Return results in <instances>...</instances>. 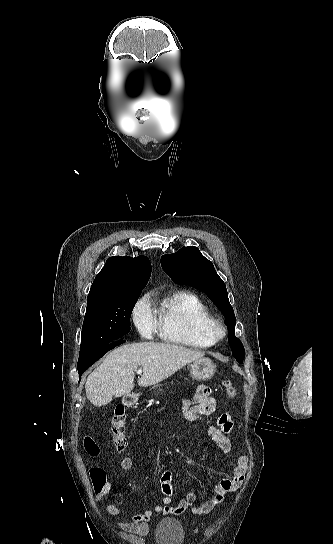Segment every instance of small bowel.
<instances>
[{"label": "small bowel", "mask_w": 333, "mask_h": 544, "mask_svg": "<svg viewBox=\"0 0 333 544\" xmlns=\"http://www.w3.org/2000/svg\"><path fill=\"white\" fill-rule=\"evenodd\" d=\"M217 407L218 403L212 396V390L207 386H199L193 399L183 403L182 415L188 420H197L212 415L216 412ZM232 429V417L230 414L224 413L219 417L217 426H210L207 433L209 438L222 452L229 453L232 450V443L229 438ZM247 463V457L244 455L240 456L231 475L220 480L214 487L213 496L202 503H198L195 493L189 492L176 505H173L174 490L172 486V473L166 470L160 477L161 491L164 495L161 505H157L153 509H145L142 513L128 518L122 508L114 505L109 500L105 503V510L113 517L124 519L119 523V526L124 531L144 536L148 533L151 519L155 514L181 515L188 509L195 515H203L211 512L223 501L227 494L237 490L243 484ZM120 467L124 472H129L133 467V460L128 456L122 458ZM111 489V484L106 482L100 490L95 491L96 501H102L110 494Z\"/></svg>", "instance_id": "obj_1"}]
</instances>
